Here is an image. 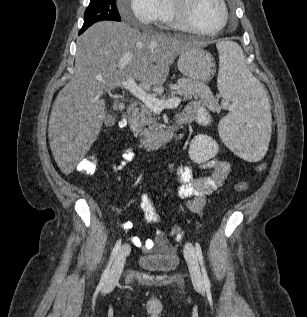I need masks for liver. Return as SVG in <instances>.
Wrapping results in <instances>:
<instances>
[{
	"label": "liver",
	"instance_id": "6515ba94",
	"mask_svg": "<svg viewBox=\"0 0 307 317\" xmlns=\"http://www.w3.org/2000/svg\"><path fill=\"white\" fill-rule=\"evenodd\" d=\"M191 46L207 43L139 31L122 22L103 21L87 29L77 39L74 76L56 97L49 119V144L61 171L73 172L96 140L106 119L105 92L129 78L142 88L161 86L176 57Z\"/></svg>",
	"mask_w": 307,
	"mask_h": 317
}]
</instances>
